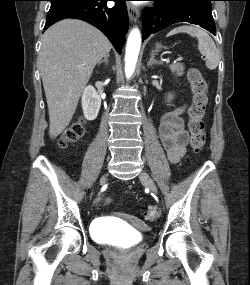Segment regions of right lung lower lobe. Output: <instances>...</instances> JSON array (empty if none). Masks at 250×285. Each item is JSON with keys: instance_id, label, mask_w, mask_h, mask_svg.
Here are the masks:
<instances>
[{"instance_id": "right-lung-lower-lobe-1", "label": "right lung lower lobe", "mask_w": 250, "mask_h": 285, "mask_svg": "<svg viewBox=\"0 0 250 285\" xmlns=\"http://www.w3.org/2000/svg\"><path fill=\"white\" fill-rule=\"evenodd\" d=\"M107 1L83 0L51 7L44 30L65 18L80 19L101 30L110 39L116 51L121 54L129 27L126 0H113L115 1L113 8L107 7Z\"/></svg>"}]
</instances>
